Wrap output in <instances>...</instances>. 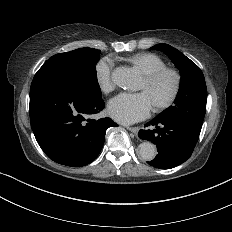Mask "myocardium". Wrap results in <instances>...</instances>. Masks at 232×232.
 Returning a JSON list of instances; mask_svg holds the SVG:
<instances>
[{
    "instance_id": "obj_1",
    "label": "myocardium",
    "mask_w": 232,
    "mask_h": 232,
    "mask_svg": "<svg viewBox=\"0 0 232 232\" xmlns=\"http://www.w3.org/2000/svg\"><path fill=\"white\" fill-rule=\"evenodd\" d=\"M165 74H170L173 77L174 86H173L172 92L169 95V97L157 106V108H156L157 111H162V110L170 107L174 103V101L176 100V98L180 92L181 75L179 74V72L177 70H175L173 68L164 67V68H161V69H159L151 74L144 76V82H145L146 86L152 87Z\"/></svg>"
}]
</instances>
